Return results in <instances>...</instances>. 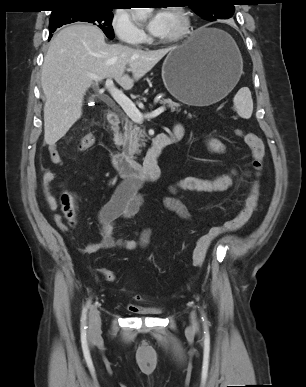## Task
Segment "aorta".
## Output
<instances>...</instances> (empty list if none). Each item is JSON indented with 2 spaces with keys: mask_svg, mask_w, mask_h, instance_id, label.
Masks as SVG:
<instances>
[{
  "mask_svg": "<svg viewBox=\"0 0 306 387\" xmlns=\"http://www.w3.org/2000/svg\"><path fill=\"white\" fill-rule=\"evenodd\" d=\"M151 11V8H132V15L134 19L143 20Z\"/></svg>",
  "mask_w": 306,
  "mask_h": 387,
  "instance_id": "1",
  "label": "aorta"
}]
</instances>
